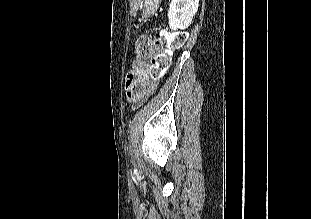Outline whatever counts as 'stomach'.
<instances>
[{
  "label": "stomach",
  "instance_id": "stomach-1",
  "mask_svg": "<svg viewBox=\"0 0 311 219\" xmlns=\"http://www.w3.org/2000/svg\"><path fill=\"white\" fill-rule=\"evenodd\" d=\"M160 0H144V18L150 17L154 14L159 6Z\"/></svg>",
  "mask_w": 311,
  "mask_h": 219
}]
</instances>
